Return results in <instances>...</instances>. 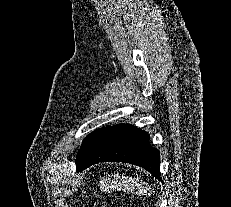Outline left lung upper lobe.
Masks as SVG:
<instances>
[{
	"instance_id": "1",
	"label": "left lung upper lobe",
	"mask_w": 231,
	"mask_h": 207,
	"mask_svg": "<svg viewBox=\"0 0 231 207\" xmlns=\"http://www.w3.org/2000/svg\"><path fill=\"white\" fill-rule=\"evenodd\" d=\"M100 130L97 129L96 131L92 132L91 134H89L82 142V146L81 149L77 155L76 158V165H78L80 163V161L82 160L83 156L85 155V153L87 152L88 148L90 147V145L92 144L93 140L95 139L96 135L98 134Z\"/></svg>"
}]
</instances>
